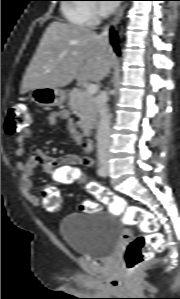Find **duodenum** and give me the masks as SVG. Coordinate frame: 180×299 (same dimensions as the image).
<instances>
[{"instance_id": "410a0bca", "label": "duodenum", "mask_w": 180, "mask_h": 299, "mask_svg": "<svg viewBox=\"0 0 180 299\" xmlns=\"http://www.w3.org/2000/svg\"><path fill=\"white\" fill-rule=\"evenodd\" d=\"M83 130L86 135H91L93 133V127L89 123L83 124Z\"/></svg>"}]
</instances>
